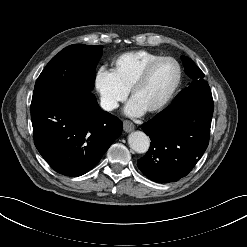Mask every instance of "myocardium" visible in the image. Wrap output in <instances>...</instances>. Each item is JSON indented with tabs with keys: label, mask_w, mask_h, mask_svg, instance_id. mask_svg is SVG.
Returning <instances> with one entry per match:
<instances>
[{
	"label": "myocardium",
	"mask_w": 247,
	"mask_h": 247,
	"mask_svg": "<svg viewBox=\"0 0 247 247\" xmlns=\"http://www.w3.org/2000/svg\"><path fill=\"white\" fill-rule=\"evenodd\" d=\"M164 60H169L175 64L176 69H177V77H176L174 85L172 86V88L170 89L168 94L159 103H157L156 105H154L153 107H151L147 110V112H149V113H154V112H157V111H160L161 109H163L172 100V98L176 94V92L179 89V86L181 84V81H182V68H181L180 63L175 58H173L171 56H159L158 58L149 62L143 68V70L138 75V77L135 79V81L133 82V84L130 88V96H131V98H133V96L137 92V90H139L145 84V82L147 81L153 68L159 62L164 61Z\"/></svg>",
	"instance_id": "obj_1"
}]
</instances>
